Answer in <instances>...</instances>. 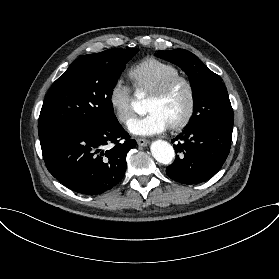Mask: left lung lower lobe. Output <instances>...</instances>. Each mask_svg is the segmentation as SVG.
<instances>
[{
  "instance_id": "0a47b994",
  "label": "left lung lower lobe",
  "mask_w": 279,
  "mask_h": 279,
  "mask_svg": "<svg viewBox=\"0 0 279 279\" xmlns=\"http://www.w3.org/2000/svg\"><path fill=\"white\" fill-rule=\"evenodd\" d=\"M233 125L215 122L200 123L186 128L172 142L180 152L166 168L174 181L185 184L201 183L216 174L225 162L231 147Z\"/></svg>"
}]
</instances>
